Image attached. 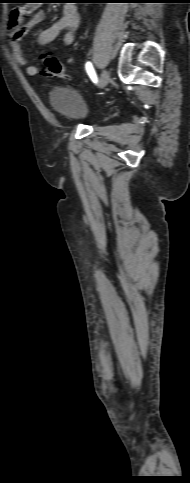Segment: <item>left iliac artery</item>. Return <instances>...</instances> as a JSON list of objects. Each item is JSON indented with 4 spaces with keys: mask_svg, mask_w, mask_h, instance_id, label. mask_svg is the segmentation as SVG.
<instances>
[{
    "mask_svg": "<svg viewBox=\"0 0 190 483\" xmlns=\"http://www.w3.org/2000/svg\"><path fill=\"white\" fill-rule=\"evenodd\" d=\"M86 71L94 83H97V76L91 62H87L85 65Z\"/></svg>",
    "mask_w": 190,
    "mask_h": 483,
    "instance_id": "44dca946",
    "label": "left iliac artery"
}]
</instances>
